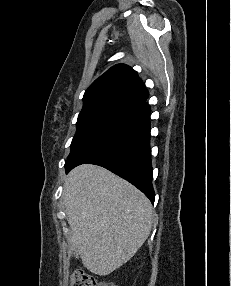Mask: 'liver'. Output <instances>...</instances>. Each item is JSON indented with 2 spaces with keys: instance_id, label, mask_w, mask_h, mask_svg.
I'll use <instances>...</instances> for the list:
<instances>
[{
  "instance_id": "6515ba94",
  "label": "liver",
  "mask_w": 231,
  "mask_h": 286,
  "mask_svg": "<svg viewBox=\"0 0 231 286\" xmlns=\"http://www.w3.org/2000/svg\"><path fill=\"white\" fill-rule=\"evenodd\" d=\"M62 196L72 240L93 274L105 276L127 263L150 235L153 208L148 198L105 168H74Z\"/></svg>"
}]
</instances>
